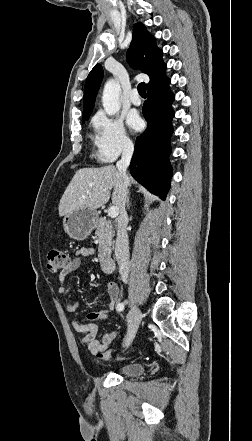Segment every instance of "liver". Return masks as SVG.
<instances>
[{
  "label": "liver",
  "mask_w": 252,
  "mask_h": 441,
  "mask_svg": "<svg viewBox=\"0 0 252 441\" xmlns=\"http://www.w3.org/2000/svg\"><path fill=\"white\" fill-rule=\"evenodd\" d=\"M121 183V175L113 165L79 169L62 195L59 215L65 216L78 209L100 208L109 201L112 188V203L120 210Z\"/></svg>",
  "instance_id": "6515ba94"
}]
</instances>
